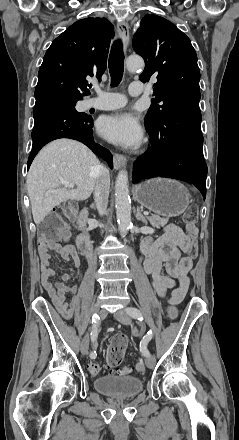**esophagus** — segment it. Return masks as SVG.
Returning a JSON list of instances; mask_svg holds the SVG:
<instances>
[{
  "label": "esophagus",
  "instance_id": "esophagus-1",
  "mask_svg": "<svg viewBox=\"0 0 239 440\" xmlns=\"http://www.w3.org/2000/svg\"><path fill=\"white\" fill-rule=\"evenodd\" d=\"M117 31L121 36L123 48L127 47L130 38L129 26L125 21H119L117 23ZM126 164V157L119 153H114L113 156V165L115 169H119L120 167Z\"/></svg>",
  "mask_w": 239,
  "mask_h": 440
}]
</instances>
